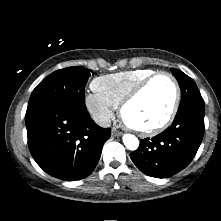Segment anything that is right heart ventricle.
Here are the masks:
<instances>
[{
	"label": "right heart ventricle",
	"mask_w": 221,
	"mask_h": 221,
	"mask_svg": "<svg viewBox=\"0 0 221 221\" xmlns=\"http://www.w3.org/2000/svg\"><path fill=\"white\" fill-rule=\"evenodd\" d=\"M154 72L152 69L140 68L102 75L93 80L92 89L113 107H118L138 83Z\"/></svg>",
	"instance_id": "obj_1"
}]
</instances>
